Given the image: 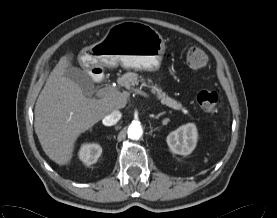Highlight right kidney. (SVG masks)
Here are the masks:
<instances>
[{
	"label": "right kidney",
	"instance_id": "1",
	"mask_svg": "<svg viewBox=\"0 0 277 218\" xmlns=\"http://www.w3.org/2000/svg\"><path fill=\"white\" fill-rule=\"evenodd\" d=\"M102 153V148L99 144H83L79 151L80 160L87 166L97 162Z\"/></svg>",
	"mask_w": 277,
	"mask_h": 218
}]
</instances>
